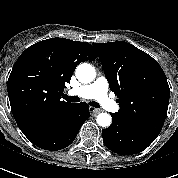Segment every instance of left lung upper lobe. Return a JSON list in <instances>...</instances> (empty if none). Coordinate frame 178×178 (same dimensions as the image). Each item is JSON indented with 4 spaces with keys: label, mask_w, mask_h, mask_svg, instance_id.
Segmentation results:
<instances>
[{
    "label": "left lung upper lobe",
    "mask_w": 178,
    "mask_h": 178,
    "mask_svg": "<svg viewBox=\"0 0 178 178\" xmlns=\"http://www.w3.org/2000/svg\"><path fill=\"white\" fill-rule=\"evenodd\" d=\"M120 109L114 116L158 136L166 119L170 89L158 62L124 41L93 43Z\"/></svg>",
    "instance_id": "5c2ea615"
}]
</instances>
